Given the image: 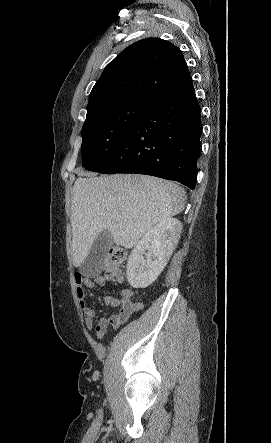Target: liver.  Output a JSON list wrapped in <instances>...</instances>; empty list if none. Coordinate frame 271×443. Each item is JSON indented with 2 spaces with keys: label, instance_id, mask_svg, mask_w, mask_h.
Masks as SVG:
<instances>
[{
  "label": "liver",
  "instance_id": "1",
  "mask_svg": "<svg viewBox=\"0 0 271 443\" xmlns=\"http://www.w3.org/2000/svg\"><path fill=\"white\" fill-rule=\"evenodd\" d=\"M73 188L72 259L85 261L101 231H110L116 245L133 247L152 225L182 212L183 188L153 176L80 172Z\"/></svg>",
  "mask_w": 271,
  "mask_h": 443
}]
</instances>
